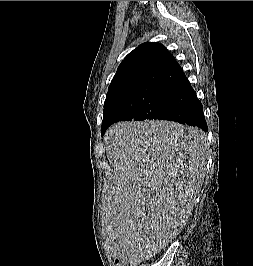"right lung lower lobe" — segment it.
<instances>
[{
  "label": "right lung lower lobe",
  "mask_w": 253,
  "mask_h": 266,
  "mask_svg": "<svg viewBox=\"0 0 253 266\" xmlns=\"http://www.w3.org/2000/svg\"><path fill=\"white\" fill-rule=\"evenodd\" d=\"M158 119L196 126L208 131L202 104L186 76L174 84L169 105L165 113L159 116ZM110 125L101 130L102 136Z\"/></svg>",
  "instance_id": "98d812e1"
}]
</instances>
